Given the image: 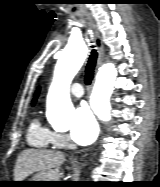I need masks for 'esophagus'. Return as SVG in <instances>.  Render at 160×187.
Segmentation results:
<instances>
[{"instance_id": "obj_1", "label": "esophagus", "mask_w": 160, "mask_h": 187, "mask_svg": "<svg viewBox=\"0 0 160 187\" xmlns=\"http://www.w3.org/2000/svg\"><path fill=\"white\" fill-rule=\"evenodd\" d=\"M91 21V26H92V30H93V37H94V41L98 50V63L97 66H100L103 63L104 60V46H103V42H102V38L101 35L98 31L97 26L95 25V23L91 20V18H89Z\"/></svg>"}]
</instances>
